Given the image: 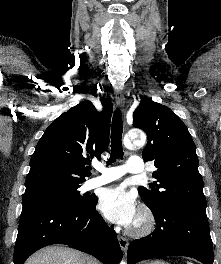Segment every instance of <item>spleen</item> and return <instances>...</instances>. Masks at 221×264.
<instances>
[{"mask_svg": "<svg viewBox=\"0 0 221 264\" xmlns=\"http://www.w3.org/2000/svg\"><path fill=\"white\" fill-rule=\"evenodd\" d=\"M187 264H193L192 262H187Z\"/></svg>", "mask_w": 221, "mask_h": 264, "instance_id": "3e777b00", "label": "spleen"}]
</instances>
